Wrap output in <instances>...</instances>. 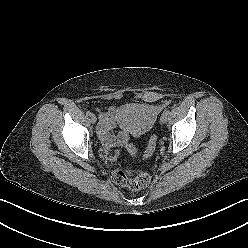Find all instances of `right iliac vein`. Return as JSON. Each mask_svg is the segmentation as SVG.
<instances>
[{"instance_id": "obj_1", "label": "right iliac vein", "mask_w": 248, "mask_h": 248, "mask_svg": "<svg viewBox=\"0 0 248 248\" xmlns=\"http://www.w3.org/2000/svg\"><path fill=\"white\" fill-rule=\"evenodd\" d=\"M96 121H97L96 116H95L94 114H91V115H90V122H91L92 124H95Z\"/></svg>"}]
</instances>
